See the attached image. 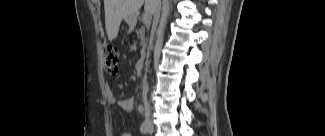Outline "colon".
Listing matches in <instances>:
<instances>
[{
  "mask_svg": "<svg viewBox=\"0 0 325 136\" xmlns=\"http://www.w3.org/2000/svg\"><path fill=\"white\" fill-rule=\"evenodd\" d=\"M119 52L112 45H105L103 47V65L104 69L110 73L115 74L118 71Z\"/></svg>",
  "mask_w": 325,
  "mask_h": 136,
  "instance_id": "1",
  "label": "colon"
}]
</instances>
